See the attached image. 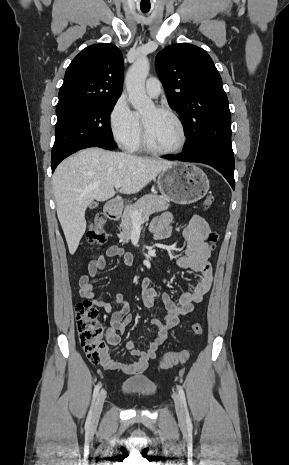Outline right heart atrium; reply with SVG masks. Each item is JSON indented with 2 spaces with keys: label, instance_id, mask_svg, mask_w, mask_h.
Here are the masks:
<instances>
[{
  "label": "right heart atrium",
  "instance_id": "right-heart-atrium-1",
  "mask_svg": "<svg viewBox=\"0 0 289 465\" xmlns=\"http://www.w3.org/2000/svg\"><path fill=\"white\" fill-rule=\"evenodd\" d=\"M108 122L113 139L123 147H126L141 129L138 114L130 108L124 96H120L114 102Z\"/></svg>",
  "mask_w": 289,
  "mask_h": 465
}]
</instances>
